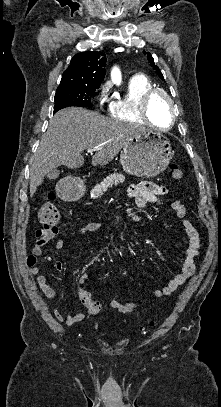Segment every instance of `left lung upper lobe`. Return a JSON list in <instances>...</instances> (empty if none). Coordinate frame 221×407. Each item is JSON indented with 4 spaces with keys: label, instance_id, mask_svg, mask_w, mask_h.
Wrapping results in <instances>:
<instances>
[{
    "label": "left lung upper lobe",
    "instance_id": "5c2ea615",
    "mask_svg": "<svg viewBox=\"0 0 221 407\" xmlns=\"http://www.w3.org/2000/svg\"><path fill=\"white\" fill-rule=\"evenodd\" d=\"M144 53L147 54V60L149 61L150 65L156 70L158 76L161 77L162 80H164V77H163L159 67L154 63V59L151 56V54L149 52H144Z\"/></svg>",
    "mask_w": 221,
    "mask_h": 407
}]
</instances>
